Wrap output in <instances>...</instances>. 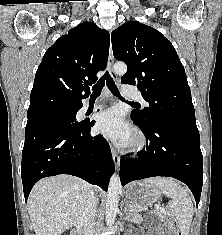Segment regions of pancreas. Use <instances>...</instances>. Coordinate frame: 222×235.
<instances>
[{
    "label": "pancreas",
    "mask_w": 222,
    "mask_h": 235,
    "mask_svg": "<svg viewBox=\"0 0 222 235\" xmlns=\"http://www.w3.org/2000/svg\"><path fill=\"white\" fill-rule=\"evenodd\" d=\"M156 214L160 217V218H164V212L163 211H157ZM134 216V215H131Z\"/></svg>",
    "instance_id": "1"
}]
</instances>
